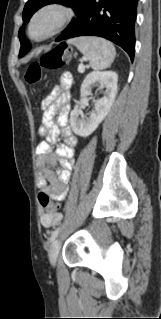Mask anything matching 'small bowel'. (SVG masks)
<instances>
[{"mask_svg":"<svg viewBox=\"0 0 161 319\" xmlns=\"http://www.w3.org/2000/svg\"><path fill=\"white\" fill-rule=\"evenodd\" d=\"M70 76L62 73L59 77V85L55 86L42 101V125L39 134L44 137L36 148L39 163L56 165L59 160L62 169L55 174L51 170H45L40 174L38 185L42 191L48 193L55 201H64L68 194V184L73 169L72 157L78 144L77 137L68 125L70 113ZM57 116V121L54 118ZM64 143L59 144L53 152L52 144L60 137ZM62 218L57 211H47L41 214V224L45 228L54 227Z\"/></svg>","mask_w":161,"mask_h":319,"instance_id":"obj_1","label":"small bowel"}]
</instances>
